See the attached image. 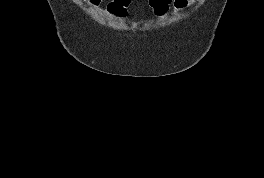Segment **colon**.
Listing matches in <instances>:
<instances>
[{"label":"colon","mask_w":264,"mask_h":178,"mask_svg":"<svg viewBox=\"0 0 264 178\" xmlns=\"http://www.w3.org/2000/svg\"><path fill=\"white\" fill-rule=\"evenodd\" d=\"M132 0H110L106 6L107 12L116 19H124ZM171 0H149L153 14L163 17L169 10Z\"/></svg>","instance_id":"colon-1"}]
</instances>
